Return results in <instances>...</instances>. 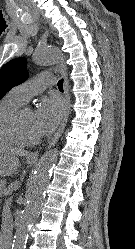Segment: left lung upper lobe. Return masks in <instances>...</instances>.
<instances>
[{
    "mask_svg": "<svg viewBox=\"0 0 135 249\" xmlns=\"http://www.w3.org/2000/svg\"><path fill=\"white\" fill-rule=\"evenodd\" d=\"M26 58L20 57L0 69V98L13 87L23 83L28 76Z\"/></svg>",
    "mask_w": 135,
    "mask_h": 249,
    "instance_id": "5c2ea615",
    "label": "left lung upper lobe"
}]
</instances>
